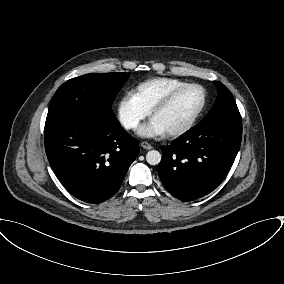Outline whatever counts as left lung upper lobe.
Listing matches in <instances>:
<instances>
[{
	"mask_svg": "<svg viewBox=\"0 0 284 284\" xmlns=\"http://www.w3.org/2000/svg\"><path fill=\"white\" fill-rule=\"evenodd\" d=\"M214 84L218 90V97L212 109L200 123L224 118L241 119L234 97L228 88L218 81H214Z\"/></svg>",
	"mask_w": 284,
	"mask_h": 284,
	"instance_id": "left-lung-upper-lobe-1",
	"label": "left lung upper lobe"
}]
</instances>
